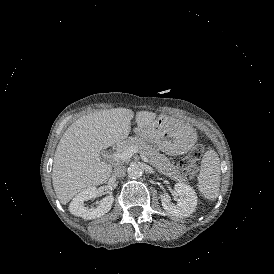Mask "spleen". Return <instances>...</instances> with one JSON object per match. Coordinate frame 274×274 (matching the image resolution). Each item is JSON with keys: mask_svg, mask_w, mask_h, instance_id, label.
<instances>
[{"mask_svg": "<svg viewBox=\"0 0 274 274\" xmlns=\"http://www.w3.org/2000/svg\"><path fill=\"white\" fill-rule=\"evenodd\" d=\"M220 159L214 149H208L203 154L200 172L197 176V191L200 196L214 202L219 194L221 179Z\"/></svg>", "mask_w": 274, "mask_h": 274, "instance_id": "3e777b00", "label": "spleen"}]
</instances>
